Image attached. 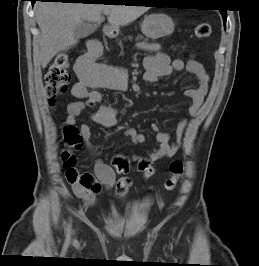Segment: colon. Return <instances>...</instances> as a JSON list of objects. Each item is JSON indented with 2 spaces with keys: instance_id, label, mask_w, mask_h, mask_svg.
<instances>
[{
  "instance_id": "obj_1",
  "label": "colon",
  "mask_w": 259,
  "mask_h": 266,
  "mask_svg": "<svg viewBox=\"0 0 259 266\" xmlns=\"http://www.w3.org/2000/svg\"><path fill=\"white\" fill-rule=\"evenodd\" d=\"M211 26L209 23L201 22L195 28V34L199 39H206L211 35ZM69 55L67 53H59L54 58L52 64L45 73V91L51 103L63 95L67 89L71 79L68 71ZM64 142L69 147L78 149L81 145L82 137L79 130L75 126L67 125L63 129ZM64 166L66 171L74 169L75 160L72 154L65 150L62 153ZM114 167L118 174L125 175L129 172V162L124 158H117ZM138 171L141 172L145 179H150L154 175V168L149 160H140L138 162ZM170 176L165 181V189L171 191L183 174V163L175 160L169 165Z\"/></svg>"
}]
</instances>
